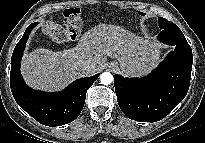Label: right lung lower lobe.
I'll return each mask as SVG.
<instances>
[{
    "label": "right lung lower lobe",
    "mask_w": 205,
    "mask_h": 143,
    "mask_svg": "<svg viewBox=\"0 0 205 143\" xmlns=\"http://www.w3.org/2000/svg\"><path fill=\"white\" fill-rule=\"evenodd\" d=\"M30 24L17 43L11 58L10 87L16 102L36 121L46 126H60L74 121L81 113L87 90L100 74L81 78L57 93L34 91L28 87L20 73V61L31 30Z\"/></svg>",
    "instance_id": "obj_1"
}]
</instances>
